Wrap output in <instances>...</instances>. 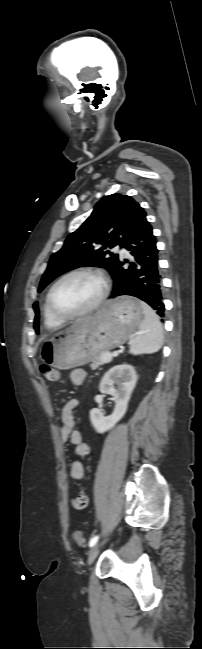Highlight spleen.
Returning a JSON list of instances; mask_svg holds the SVG:
<instances>
[{
    "mask_svg": "<svg viewBox=\"0 0 202 649\" xmlns=\"http://www.w3.org/2000/svg\"><path fill=\"white\" fill-rule=\"evenodd\" d=\"M144 319L139 332L130 343L129 352L133 355L157 352L163 343V328L155 311L142 302Z\"/></svg>",
    "mask_w": 202,
    "mask_h": 649,
    "instance_id": "obj_1",
    "label": "spleen"
}]
</instances>
